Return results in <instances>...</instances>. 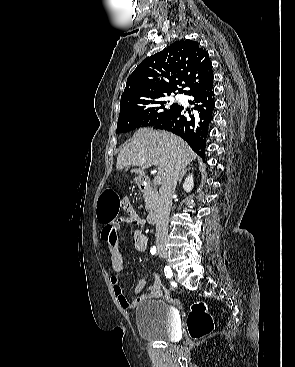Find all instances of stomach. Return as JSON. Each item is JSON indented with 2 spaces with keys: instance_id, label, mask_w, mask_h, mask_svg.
Returning a JSON list of instances; mask_svg holds the SVG:
<instances>
[{
  "instance_id": "obj_1",
  "label": "stomach",
  "mask_w": 295,
  "mask_h": 367,
  "mask_svg": "<svg viewBox=\"0 0 295 367\" xmlns=\"http://www.w3.org/2000/svg\"><path fill=\"white\" fill-rule=\"evenodd\" d=\"M135 182H136L138 185H140L141 179H140V178H136V179H135Z\"/></svg>"
}]
</instances>
